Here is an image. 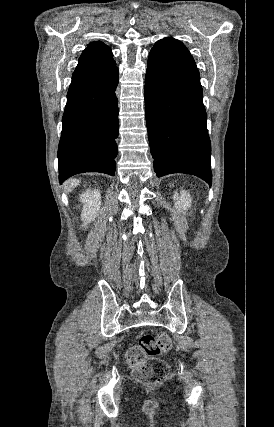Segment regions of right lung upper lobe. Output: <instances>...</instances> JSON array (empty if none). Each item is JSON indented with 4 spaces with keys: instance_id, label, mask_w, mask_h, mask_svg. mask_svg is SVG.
Returning <instances> with one entry per match:
<instances>
[{
    "instance_id": "obj_1",
    "label": "right lung upper lobe",
    "mask_w": 274,
    "mask_h": 427,
    "mask_svg": "<svg viewBox=\"0 0 274 427\" xmlns=\"http://www.w3.org/2000/svg\"><path fill=\"white\" fill-rule=\"evenodd\" d=\"M114 63L110 48L102 42H91L80 56L73 75L99 71Z\"/></svg>"
}]
</instances>
